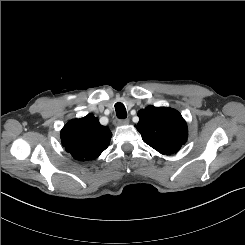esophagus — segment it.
Wrapping results in <instances>:
<instances>
[{
	"label": "esophagus",
	"mask_w": 245,
	"mask_h": 245,
	"mask_svg": "<svg viewBox=\"0 0 245 245\" xmlns=\"http://www.w3.org/2000/svg\"><path fill=\"white\" fill-rule=\"evenodd\" d=\"M129 120L128 119H119L115 122L116 125H125L128 124Z\"/></svg>",
	"instance_id": "34e87169"
}]
</instances>
